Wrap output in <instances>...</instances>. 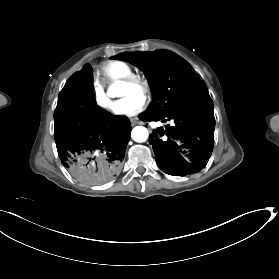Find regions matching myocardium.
I'll use <instances>...</instances> for the list:
<instances>
[{"label":"myocardium","mask_w":279,"mask_h":279,"mask_svg":"<svg viewBox=\"0 0 279 279\" xmlns=\"http://www.w3.org/2000/svg\"><path fill=\"white\" fill-rule=\"evenodd\" d=\"M120 84L138 90L143 98H148L150 95V84L148 80L137 74H131L125 77L120 81Z\"/></svg>","instance_id":"obj_1"}]
</instances>
